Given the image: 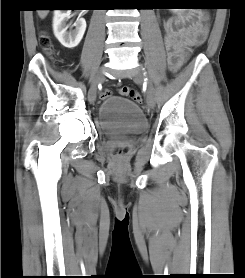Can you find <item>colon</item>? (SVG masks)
<instances>
[{
	"instance_id": "1",
	"label": "colon",
	"mask_w": 245,
	"mask_h": 278,
	"mask_svg": "<svg viewBox=\"0 0 245 278\" xmlns=\"http://www.w3.org/2000/svg\"><path fill=\"white\" fill-rule=\"evenodd\" d=\"M192 8L198 9V10H202V11H207L209 10L211 7V4L208 3V0H206V2H201V3H196L195 5L192 6ZM40 43L43 47V49L47 52V53H52L53 52V43L51 38L46 34V33H42L40 36ZM119 94L121 96H127L130 97L132 100H134L136 103H141L142 102V96L136 92H134L131 88L129 87H121L119 88ZM111 95V92L108 90H105L102 92V96L103 97H109Z\"/></svg>"
}]
</instances>
